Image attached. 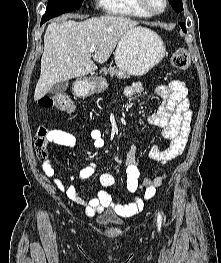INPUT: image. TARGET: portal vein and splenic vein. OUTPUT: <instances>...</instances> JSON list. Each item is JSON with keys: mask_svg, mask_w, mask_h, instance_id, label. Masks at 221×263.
<instances>
[{"mask_svg": "<svg viewBox=\"0 0 221 263\" xmlns=\"http://www.w3.org/2000/svg\"><path fill=\"white\" fill-rule=\"evenodd\" d=\"M95 50H96V47L92 46L89 51H90V53H93Z\"/></svg>", "mask_w": 221, "mask_h": 263, "instance_id": "portal-vein-and-splenic-vein-1", "label": "portal vein and splenic vein"}]
</instances>
